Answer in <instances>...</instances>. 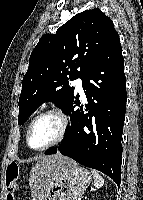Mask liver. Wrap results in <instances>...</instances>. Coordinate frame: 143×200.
Returning <instances> with one entry per match:
<instances>
[{
    "mask_svg": "<svg viewBox=\"0 0 143 200\" xmlns=\"http://www.w3.org/2000/svg\"><path fill=\"white\" fill-rule=\"evenodd\" d=\"M74 163L73 160L56 153L43 156L31 169L29 185L33 200H43L52 175L66 164Z\"/></svg>",
    "mask_w": 143,
    "mask_h": 200,
    "instance_id": "liver-1",
    "label": "liver"
}]
</instances>
